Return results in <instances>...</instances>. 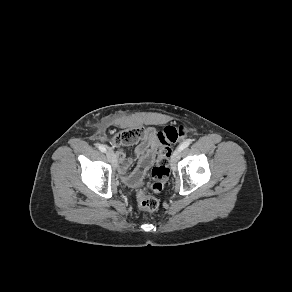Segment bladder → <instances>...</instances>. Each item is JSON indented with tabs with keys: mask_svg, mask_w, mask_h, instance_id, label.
<instances>
[{
	"mask_svg": "<svg viewBox=\"0 0 292 292\" xmlns=\"http://www.w3.org/2000/svg\"><path fill=\"white\" fill-rule=\"evenodd\" d=\"M125 183H126L129 187H131V188H136V187H138V186L141 185V181H139V180H135V179L132 178V177H127V178L125 179Z\"/></svg>",
	"mask_w": 292,
	"mask_h": 292,
	"instance_id": "1",
	"label": "bladder"
}]
</instances>
